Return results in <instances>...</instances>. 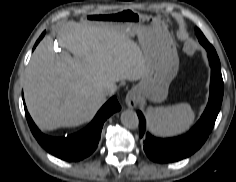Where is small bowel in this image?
<instances>
[{
  "mask_svg": "<svg viewBox=\"0 0 236 182\" xmlns=\"http://www.w3.org/2000/svg\"><path fill=\"white\" fill-rule=\"evenodd\" d=\"M187 49H188V50H191V49H192V46H191V45H188V46H187Z\"/></svg>",
  "mask_w": 236,
  "mask_h": 182,
  "instance_id": "small-bowel-1",
  "label": "small bowel"
}]
</instances>
